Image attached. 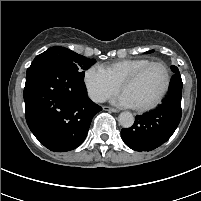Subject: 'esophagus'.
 Here are the masks:
<instances>
[{"instance_id":"obj_1","label":"esophagus","mask_w":201,"mask_h":201,"mask_svg":"<svg viewBox=\"0 0 201 201\" xmlns=\"http://www.w3.org/2000/svg\"><path fill=\"white\" fill-rule=\"evenodd\" d=\"M103 110L108 111V112H114V113L119 112L118 109L112 108V107H109V106H104V107H103Z\"/></svg>"}]
</instances>
